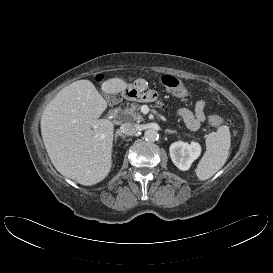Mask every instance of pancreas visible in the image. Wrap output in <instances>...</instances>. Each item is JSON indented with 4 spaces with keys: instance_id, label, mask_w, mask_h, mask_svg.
Here are the masks:
<instances>
[{
    "instance_id": "1",
    "label": "pancreas",
    "mask_w": 273,
    "mask_h": 273,
    "mask_svg": "<svg viewBox=\"0 0 273 273\" xmlns=\"http://www.w3.org/2000/svg\"><path fill=\"white\" fill-rule=\"evenodd\" d=\"M157 105L163 106L164 104L161 101H157ZM140 109L141 105L137 103H131L125 108L124 115L130 120L140 122L143 120V117L139 112Z\"/></svg>"
}]
</instances>
